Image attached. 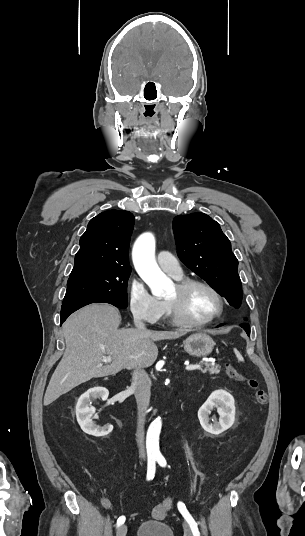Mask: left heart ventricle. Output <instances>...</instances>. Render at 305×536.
Here are the masks:
<instances>
[{
	"label": "left heart ventricle",
	"instance_id": "1",
	"mask_svg": "<svg viewBox=\"0 0 305 536\" xmlns=\"http://www.w3.org/2000/svg\"><path fill=\"white\" fill-rule=\"evenodd\" d=\"M166 299L179 300L183 305L186 317L194 322L214 317L221 307L219 298L211 290L201 286H197L181 296L175 285Z\"/></svg>",
	"mask_w": 305,
	"mask_h": 536
}]
</instances>
